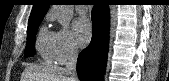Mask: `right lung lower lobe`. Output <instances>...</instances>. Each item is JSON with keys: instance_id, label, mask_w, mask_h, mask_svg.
I'll return each mask as SVG.
<instances>
[{"instance_id": "obj_1", "label": "right lung lower lobe", "mask_w": 169, "mask_h": 81, "mask_svg": "<svg viewBox=\"0 0 169 81\" xmlns=\"http://www.w3.org/2000/svg\"><path fill=\"white\" fill-rule=\"evenodd\" d=\"M93 35L90 45L77 60L81 81H102L108 52L109 13L106 3L94 5L92 10Z\"/></svg>"}]
</instances>
